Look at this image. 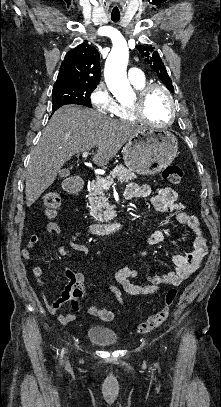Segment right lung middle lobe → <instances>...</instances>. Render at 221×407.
<instances>
[{"label":"right lung middle lobe","mask_w":221,"mask_h":407,"mask_svg":"<svg viewBox=\"0 0 221 407\" xmlns=\"http://www.w3.org/2000/svg\"><path fill=\"white\" fill-rule=\"evenodd\" d=\"M96 87L97 85L69 84L53 88V109H57L66 104L91 106L90 94Z\"/></svg>","instance_id":"right-lung-middle-lobe-1"}]
</instances>
